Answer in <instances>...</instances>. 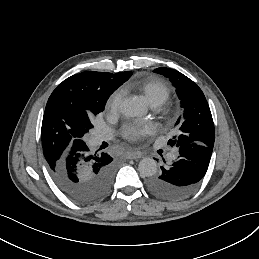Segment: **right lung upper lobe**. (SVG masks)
<instances>
[{
    "label": "right lung upper lobe",
    "instance_id": "obj_1",
    "mask_svg": "<svg viewBox=\"0 0 259 259\" xmlns=\"http://www.w3.org/2000/svg\"><path fill=\"white\" fill-rule=\"evenodd\" d=\"M131 74L82 72L55 88L46 104L41 128L43 153L50 168L71 148L84 143L82 136L89 131L90 119L104 109L109 96Z\"/></svg>",
    "mask_w": 259,
    "mask_h": 259
}]
</instances>
